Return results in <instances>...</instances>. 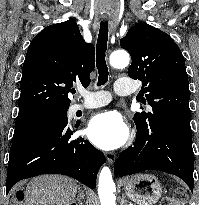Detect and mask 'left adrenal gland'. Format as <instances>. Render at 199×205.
I'll return each instance as SVG.
<instances>
[{
  "label": "left adrenal gland",
  "mask_w": 199,
  "mask_h": 205,
  "mask_svg": "<svg viewBox=\"0 0 199 205\" xmlns=\"http://www.w3.org/2000/svg\"><path fill=\"white\" fill-rule=\"evenodd\" d=\"M121 205H130L126 200L125 196L122 197Z\"/></svg>",
  "instance_id": "1"
}]
</instances>
